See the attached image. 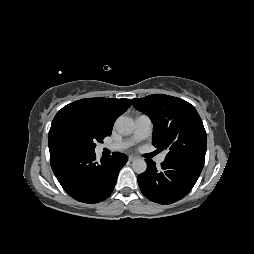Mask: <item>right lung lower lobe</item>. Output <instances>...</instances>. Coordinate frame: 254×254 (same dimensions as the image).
<instances>
[{
	"label": "right lung lower lobe",
	"instance_id": "1",
	"mask_svg": "<svg viewBox=\"0 0 254 254\" xmlns=\"http://www.w3.org/2000/svg\"><path fill=\"white\" fill-rule=\"evenodd\" d=\"M50 162L59 183L72 198L97 203L111 195L127 156L114 152L97 161L94 150L56 145L50 148Z\"/></svg>",
	"mask_w": 254,
	"mask_h": 254
}]
</instances>
